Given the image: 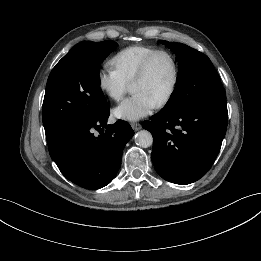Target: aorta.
<instances>
[{
    "label": "aorta",
    "instance_id": "aorta-1",
    "mask_svg": "<svg viewBox=\"0 0 261 261\" xmlns=\"http://www.w3.org/2000/svg\"><path fill=\"white\" fill-rule=\"evenodd\" d=\"M135 143L139 147L148 148L153 144L152 134L147 130H141L135 135Z\"/></svg>",
    "mask_w": 261,
    "mask_h": 261
}]
</instances>
